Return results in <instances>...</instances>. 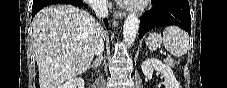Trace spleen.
<instances>
[{
	"label": "spleen",
	"instance_id": "obj_1",
	"mask_svg": "<svg viewBox=\"0 0 227 88\" xmlns=\"http://www.w3.org/2000/svg\"><path fill=\"white\" fill-rule=\"evenodd\" d=\"M160 44H163L172 55L181 57L189 47V36L179 27L169 26L164 29L163 35L150 33L146 40V46L152 51L156 50Z\"/></svg>",
	"mask_w": 227,
	"mask_h": 88
}]
</instances>
